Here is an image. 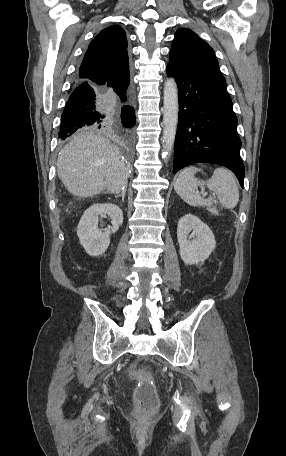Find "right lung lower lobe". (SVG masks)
<instances>
[{"label": "right lung lower lobe", "instance_id": "98d812e1", "mask_svg": "<svg viewBox=\"0 0 286 456\" xmlns=\"http://www.w3.org/2000/svg\"><path fill=\"white\" fill-rule=\"evenodd\" d=\"M134 125L133 90L129 76L98 82L77 74L61 116L58 137L66 139L87 128H107L120 139L130 142Z\"/></svg>", "mask_w": 286, "mask_h": 456}]
</instances>
